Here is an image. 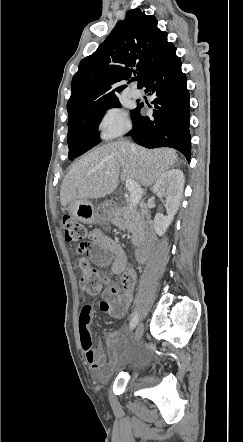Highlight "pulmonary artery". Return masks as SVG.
<instances>
[{
	"instance_id": "obj_1",
	"label": "pulmonary artery",
	"mask_w": 243,
	"mask_h": 442,
	"mask_svg": "<svg viewBox=\"0 0 243 442\" xmlns=\"http://www.w3.org/2000/svg\"><path fill=\"white\" fill-rule=\"evenodd\" d=\"M131 96L133 97V98H135V99H139V98H141L142 97V91L140 90V89H138V88H136V87H133L132 89H131Z\"/></svg>"
}]
</instances>
